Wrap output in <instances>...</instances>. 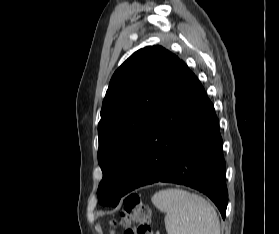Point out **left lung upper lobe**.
<instances>
[{
    "label": "left lung upper lobe",
    "mask_w": 279,
    "mask_h": 234,
    "mask_svg": "<svg viewBox=\"0 0 279 234\" xmlns=\"http://www.w3.org/2000/svg\"><path fill=\"white\" fill-rule=\"evenodd\" d=\"M161 46L133 53L113 74L98 124V162L103 172L97 195L115 207L135 164L153 115L180 64Z\"/></svg>",
    "instance_id": "obj_1"
}]
</instances>
